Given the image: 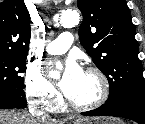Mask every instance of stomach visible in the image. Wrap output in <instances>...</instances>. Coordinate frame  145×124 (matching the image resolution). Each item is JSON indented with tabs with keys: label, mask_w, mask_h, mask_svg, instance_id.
<instances>
[{
	"label": "stomach",
	"mask_w": 145,
	"mask_h": 124,
	"mask_svg": "<svg viewBox=\"0 0 145 124\" xmlns=\"http://www.w3.org/2000/svg\"><path fill=\"white\" fill-rule=\"evenodd\" d=\"M117 120L111 118L78 119L73 124H115Z\"/></svg>",
	"instance_id": "1"
}]
</instances>
